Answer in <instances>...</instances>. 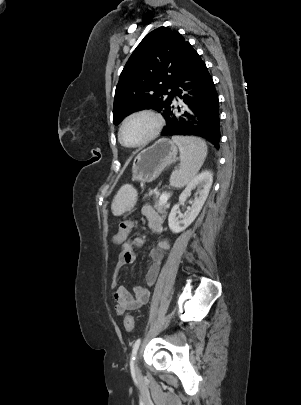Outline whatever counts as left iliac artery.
I'll use <instances>...</instances> for the list:
<instances>
[{
  "instance_id": "44dca946",
  "label": "left iliac artery",
  "mask_w": 301,
  "mask_h": 405,
  "mask_svg": "<svg viewBox=\"0 0 301 405\" xmlns=\"http://www.w3.org/2000/svg\"><path fill=\"white\" fill-rule=\"evenodd\" d=\"M166 326H167V325H166ZM140 342H141V339L139 338V339H137V340L135 341V343H134V345H133L132 356H131V364H132V365L134 364L135 355H136V352H137V350H138V348H139Z\"/></svg>"
}]
</instances>
